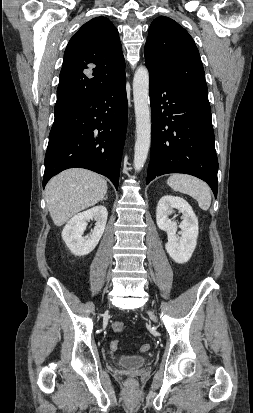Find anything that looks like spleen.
Wrapping results in <instances>:
<instances>
[{
	"label": "spleen",
	"instance_id": "spleen-1",
	"mask_svg": "<svg viewBox=\"0 0 253 413\" xmlns=\"http://www.w3.org/2000/svg\"><path fill=\"white\" fill-rule=\"evenodd\" d=\"M167 184L175 191L192 196L197 200L199 207L206 211L211 205V190L199 178L187 174H172Z\"/></svg>",
	"mask_w": 253,
	"mask_h": 413
}]
</instances>
